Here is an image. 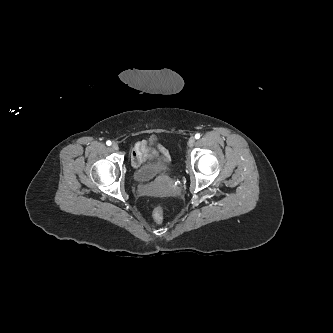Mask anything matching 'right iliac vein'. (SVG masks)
<instances>
[{
    "label": "right iliac vein",
    "instance_id": "63e3f726",
    "mask_svg": "<svg viewBox=\"0 0 333 333\" xmlns=\"http://www.w3.org/2000/svg\"><path fill=\"white\" fill-rule=\"evenodd\" d=\"M111 147L113 150H118V148H119L116 143H113Z\"/></svg>",
    "mask_w": 333,
    "mask_h": 333
}]
</instances>
